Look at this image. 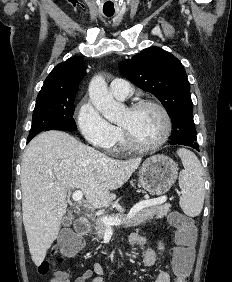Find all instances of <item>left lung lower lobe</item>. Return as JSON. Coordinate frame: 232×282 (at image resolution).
<instances>
[{
	"instance_id": "0a47b994",
	"label": "left lung lower lobe",
	"mask_w": 232,
	"mask_h": 282,
	"mask_svg": "<svg viewBox=\"0 0 232 282\" xmlns=\"http://www.w3.org/2000/svg\"><path fill=\"white\" fill-rule=\"evenodd\" d=\"M171 144H180V145H186V146H190L194 149H196L197 151H199V147L198 144H194V143H184L182 141H180L177 137H175L174 135H172V139H171Z\"/></svg>"
}]
</instances>
